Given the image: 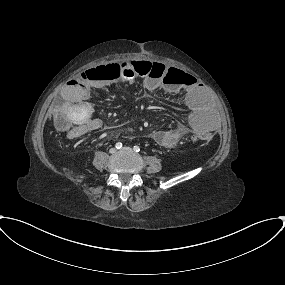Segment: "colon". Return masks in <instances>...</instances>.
Here are the masks:
<instances>
[{"mask_svg": "<svg viewBox=\"0 0 285 285\" xmlns=\"http://www.w3.org/2000/svg\"><path fill=\"white\" fill-rule=\"evenodd\" d=\"M105 71H113L118 75L137 76L141 78H153L160 80L167 86H176L187 83L190 77L183 71L167 68L160 63L148 61H131L130 63H113L109 64L105 69L83 71L81 76L87 79H100ZM57 128L64 133H71L75 129L69 115L60 111L56 114ZM194 142H208L210 136L207 133H196L191 137Z\"/></svg>", "mask_w": 285, "mask_h": 285, "instance_id": "obj_1", "label": "colon"}]
</instances>
